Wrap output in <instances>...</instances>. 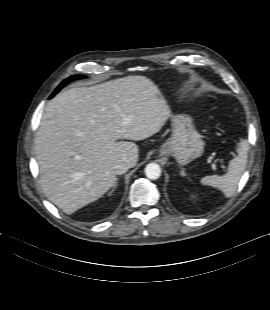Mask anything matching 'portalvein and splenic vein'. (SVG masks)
Returning <instances> with one entry per match:
<instances>
[{"mask_svg":"<svg viewBox=\"0 0 270 310\" xmlns=\"http://www.w3.org/2000/svg\"><path fill=\"white\" fill-rule=\"evenodd\" d=\"M212 168H213L214 170L216 169L215 163H212Z\"/></svg>","mask_w":270,"mask_h":310,"instance_id":"18ae733b","label":"portal vein and splenic vein"}]
</instances>
